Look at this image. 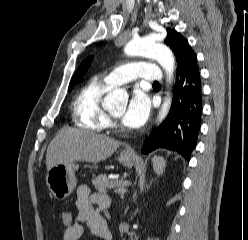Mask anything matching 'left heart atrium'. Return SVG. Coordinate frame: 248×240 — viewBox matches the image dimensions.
I'll list each match as a JSON object with an SVG mask.
<instances>
[{
  "label": "left heart atrium",
  "mask_w": 248,
  "mask_h": 240,
  "mask_svg": "<svg viewBox=\"0 0 248 240\" xmlns=\"http://www.w3.org/2000/svg\"><path fill=\"white\" fill-rule=\"evenodd\" d=\"M149 112V97L142 89L136 88L133 90L127 108L122 115V122L129 128H137L145 123Z\"/></svg>",
  "instance_id": "left-heart-atrium-1"
}]
</instances>
